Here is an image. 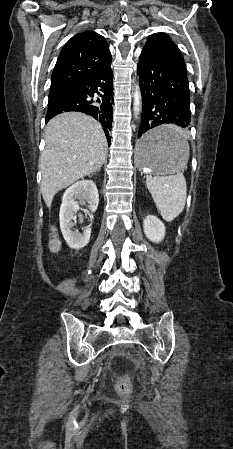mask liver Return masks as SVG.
Here are the masks:
<instances>
[{"label":"liver","instance_id":"obj_1","mask_svg":"<svg viewBox=\"0 0 233 449\" xmlns=\"http://www.w3.org/2000/svg\"><path fill=\"white\" fill-rule=\"evenodd\" d=\"M106 157L107 140L94 118L80 112L52 118L45 129V149L39 160L40 190L47 207L58 191L99 171Z\"/></svg>","mask_w":233,"mask_h":449}]
</instances>
